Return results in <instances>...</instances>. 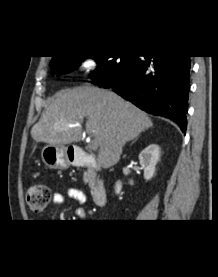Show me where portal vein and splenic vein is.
Wrapping results in <instances>:
<instances>
[{"label": "portal vein and splenic vein", "mask_w": 218, "mask_h": 277, "mask_svg": "<svg viewBox=\"0 0 218 277\" xmlns=\"http://www.w3.org/2000/svg\"><path fill=\"white\" fill-rule=\"evenodd\" d=\"M77 125H79V123H76V124H70V125H68L69 127H73V126H77ZM90 148L92 149V150H97L98 149V143L96 142V141H94V140H92V142L90 143Z\"/></svg>", "instance_id": "18ae733b"}]
</instances>
